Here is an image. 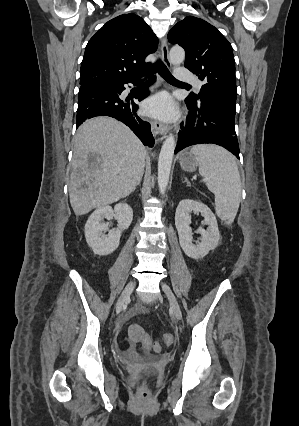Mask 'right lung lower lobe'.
<instances>
[{
  "label": "right lung lower lobe",
  "mask_w": 299,
  "mask_h": 426,
  "mask_svg": "<svg viewBox=\"0 0 299 426\" xmlns=\"http://www.w3.org/2000/svg\"><path fill=\"white\" fill-rule=\"evenodd\" d=\"M140 77L114 85H81L78 97L76 128L85 120L92 117L110 116L129 126L145 146L152 147L154 145V138L151 133L150 124L137 115L136 110L138 105L130 99L120 97L122 91L125 89L124 84H136ZM154 81L155 77H151L136 92L135 98L139 101L146 98L149 95L147 87Z\"/></svg>",
  "instance_id": "1"
}]
</instances>
